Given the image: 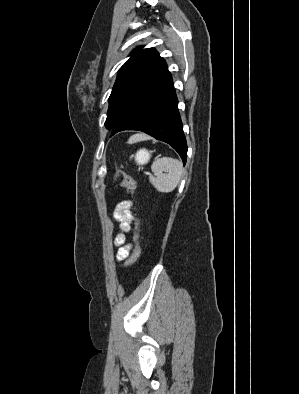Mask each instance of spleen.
<instances>
[{"mask_svg": "<svg viewBox=\"0 0 299 394\" xmlns=\"http://www.w3.org/2000/svg\"><path fill=\"white\" fill-rule=\"evenodd\" d=\"M151 170L156 176L150 178L153 187L161 193H169L179 184L183 165L176 159L163 157L152 163Z\"/></svg>", "mask_w": 299, "mask_h": 394, "instance_id": "1", "label": "spleen"}]
</instances>
